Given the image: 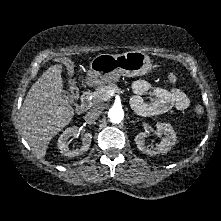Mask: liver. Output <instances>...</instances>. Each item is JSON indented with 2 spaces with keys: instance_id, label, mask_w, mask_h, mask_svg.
<instances>
[{
  "instance_id": "liver-1",
  "label": "liver",
  "mask_w": 221,
  "mask_h": 221,
  "mask_svg": "<svg viewBox=\"0 0 221 221\" xmlns=\"http://www.w3.org/2000/svg\"><path fill=\"white\" fill-rule=\"evenodd\" d=\"M62 65L49 67L31 86L21 109L22 133L38 158L51 139L66 127L74 110L63 98Z\"/></svg>"
}]
</instances>
